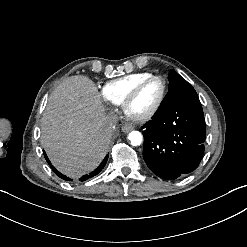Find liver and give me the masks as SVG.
<instances>
[{
  "label": "liver",
  "instance_id": "liver-1",
  "mask_svg": "<svg viewBox=\"0 0 247 247\" xmlns=\"http://www.w3.org/2000/svg\"><path fill=\"white\" fill-rule=\"evenodd\" d=\"M106 112L98 87L87 76H71L52 92L40 140L60 173L76 180L102 163L114 135Z\"/></svg>",
  "mask_w": 247,
  "mask_h": 247
}]
</instances>
